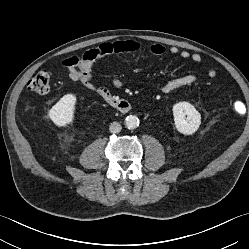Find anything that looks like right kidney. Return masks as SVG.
I'll list each match as a JSON object with an SVG mask.
<instances>
[{
  "instance_id": "1",
  "label": "right kidney",
  "mask_w": 249,
  "mask_h": 249,
  "mask_svg": "<svg viewBox=\"0 0 249 249\" xmlns=\"http://www.w3.org/2000/svg\"><path fill=\"white\" fill-rule=\"evenodd\" d=\"M76 96L64 95L49 111L48 116L58 127H66L73 122Z\"/></svg>"
}]
</instances>
